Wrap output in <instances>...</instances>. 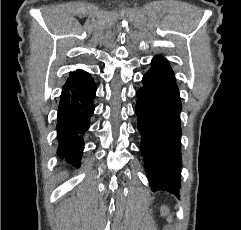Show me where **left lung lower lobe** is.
Returning <instances> with one entry per match:
<instances>
[{"label":"left lung lower lobe","mask_w":241,"mask_h":230,"mask_svg":"<svg viewBox=\"0 0 241 230\" xmlns=\"http://www.w3.org/2000/svg\"><path fill=\"white\" fill-rule=\"evenodd\" d=\"M142 82L144 86L137 91L135 111L151 189L178 196L182 106L175 75L168 61L158 56Z\"/></svg>","instance_id":"obj_1"}]
</instances>
